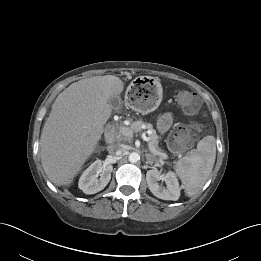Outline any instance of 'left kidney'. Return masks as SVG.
Returning <instances> with one entry per match:
<instances>
[{
    "instance_id": "5707ae66",
    "label": "left kidney",
    "mask_w": 261,
    "mask_h": 261,
    "mask_svg": "<svg viewBox=\"0 0 261 261\" xmlns=\"http://www.w3.org/2000/svg\"><path fill=\"white\" fill-rule=\"evenodd\" d=\"M146 180L149 190L157 198L173 201L179 199L180 187L174 172L169 171L166 174H162L157 169H152L147 171ZM159 181L165 182L166 187L159 185Z\"/></svg>"
}]
</instances>
